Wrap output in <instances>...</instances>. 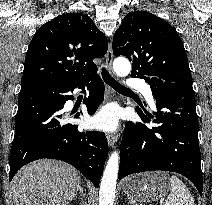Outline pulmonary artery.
Wrapping results in <instances>:
<instances>
[{
	"label": "pulmonary artery",
	"instance_id": "pulmonary-artery-1",
	"mask_svg": "<svg viewBox=\"0 0 212 205\" xmlns=\"http://www.w3.org/2000/svg\"><path fill=\"white\" fill-rule=\"evenodd\" d=\"M128 86L132 89L139 90L144 97L148 100V102L153 106V93L150 86L142 80L131 79L128 83Z\"/></svg>",
	"mask_w": 212,
	"mask_h": 205
}]
</instances>
